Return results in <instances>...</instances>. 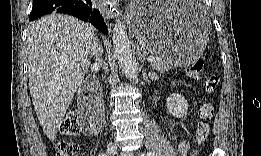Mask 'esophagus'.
I'll return each instance as SVG.
<instances>
[{"instance_id": "1", "label": "esophagus", "mask_w": 261, "mask_h": 156, "mask_svg": "<svg viewBox=\"0 0 261 156\" xmlns=\"http://www.w3.org/2000/svg\"><path fill=\"white\" fill-rule=\"evenodd\" d=\"M108 17H116L117 16V9L115 8L114 4H111L109 8L105 11Z\"/></svg>"}]
</instances>
